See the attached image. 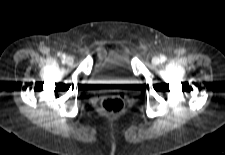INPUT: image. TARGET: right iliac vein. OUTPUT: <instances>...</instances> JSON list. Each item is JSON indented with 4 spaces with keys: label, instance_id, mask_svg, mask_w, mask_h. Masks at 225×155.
<instances>
[{
    "label": "right iliac vein",
    "instance_id": "right-iliac-vein-1",
    "mask_svg": "<svg viewBox=\"0 0 225 155\" xmlns=\"http://www.w3.org/2000/svg\"><path fill=\"white\" fill-rule=\"evenodd\" d=\"M65 62L67 65H72L74 63V59L71 56L66 57Z\"/></svg>",
    "mask_w": 225,
    "mask_h": 155
}]
</instances>
